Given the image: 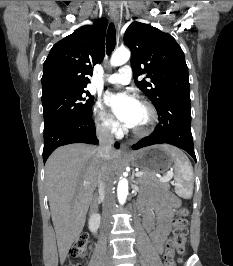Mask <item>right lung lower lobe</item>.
<instances>
[{"label":"right lung lower lobe","instance_id":"obj_1","mask_svg":"<svg viewBox=\"0 0 233 266\" xmlns=\"http://www.w3.org/2000/svg\"><path fill=\"white\" fill-rule=\"evenodd\" d=\"M71 143H98L92 114L65 120L44 129V163L57 147ZM115 147L119 148L118 142L115 143Z\"/></svg>","mask_w":233,"mask_h":266}]
</instances>
